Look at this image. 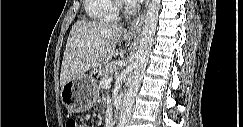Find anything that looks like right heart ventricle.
Segmentation results:
<instances>
[{"instance_id": "e07e8e85", "label": "right heart ventricle", "mask_w": 243, "mask_h": 127, "mask_svg": "<svg viewBox=\"0 0 243 127\" xmlns=\"http://www.w3.org/2000/svg\"><path fill=\"white\" fill-rule=\"evenodd\" d=\"M115 0H85L87 17L96 23H111L117 19Z\"/></svg>"}]
</instances>
